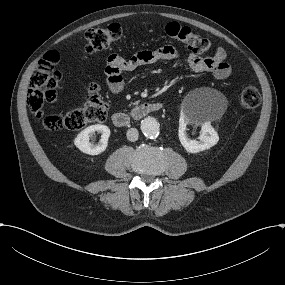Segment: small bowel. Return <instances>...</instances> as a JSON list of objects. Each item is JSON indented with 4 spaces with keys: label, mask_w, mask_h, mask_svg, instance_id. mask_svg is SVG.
Instances as JSON below:
<instances>
[{
    "label": "small bowel",
    "mask_w": 285,
    "mask_h": 285,
    "mask_svg": "<svg viewBox=\"0 0 285 285\" xmlns=\"http://www.w3.org/2000/svg\"><path fill=\"white\" fill-rule=\"evenodd\" d=\"M180 56L176 48L167 45L153 50L138 51L129 59L115 54L111 55L106 61L104 70L109 91L116 95L123 90L122 73L125 71H133L140 66L158 61L177 60ZM226 57L225 49L218 47L211 58H205L189 51L185 56V60L193 71L209 73L214 78L223 80L231 74V66L226 62Z\"/></svg>",
    "instance_id": "obj_1"
}]
</instances>
